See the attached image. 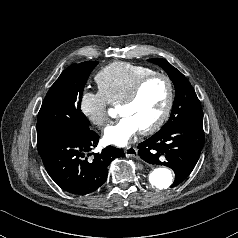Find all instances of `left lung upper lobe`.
<instances>
[{
    "label": "left lung upper lobe",
    "mask_w": 238,
    "mask_h": 238,
    "mask_svg": "<svg viewBox=\"0 0 238 238\" xmlns=\"http://www.w3.org/2000/svg\"><path fill=\"white\" fill-rule=\"evenodd\" d=\"M149 61L161 66L175 86V100L171 116L161 130H168L186 122H203V112L199 99L187 78L161 58H154Z\"/></svg>",
    "instance_id": "left-lung-upper-lobe-1"
}]
</instances>
